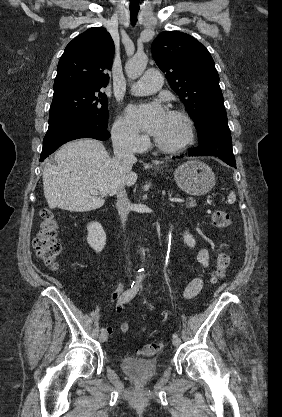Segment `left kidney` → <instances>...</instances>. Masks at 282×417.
Instances as JSON below:
<instances>
[{
	"mask_svg": "<svg viewBox=\"0 0 282 417\" xmlns=\"http://www.w3.org/2000/svg\"><path fill=\"white\" fill-rule=\"evenodd\" d=\"M183 243H185V245H187V247H190V249H193V247H195L196 245V241L193 237V235H190V233H188V231H185V233H183Z\"/></svg>",
	"mask_w": 282,
	"mask_h": 417,
	"instance_id": "left-kidney-1",
	"label": "left kidney"
}]
</instances>
